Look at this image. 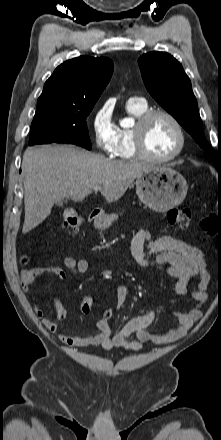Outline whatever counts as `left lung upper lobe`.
Listing matches in <instances>:
<instances>
[{
  "label": "left lung upper lobe",
  "mask_w": 221,
  "mask_h": 440,
  "mask_svg": "<svg viewBox=\"0 0 221 440\" xmlns=\"http://www.w3.org/2000/svg\"><path fill=\"white\" fill-rule=\"evenodd\" d=\"M138 64L152 97L215 158V152L205 138L190 79L182 65L170 54L156 51L142 55Z\"/></svg>",
  "instance_id": "obj_1"
}]
</instances>
